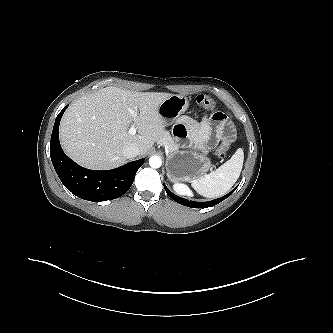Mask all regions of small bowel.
Here are the masks:
<instances>
[{"label": "small bowel", "mask_w": 333, "mask_h": 333, "mask_svg": "<svg viewBox=\"0 0 333 333\" xmlns=\"http://www.w3.org/2000/svg\"><path fill=\"white\" fill-rule=\"evenodd\" d=\"M175 131L179 138L188 139L201 151L213 148L225 134L232 135L227 116L223 112L205 116L199 124L189 117H181Z\"/></svg>", "instance_id": "c3829d8e"}]
</instances>
